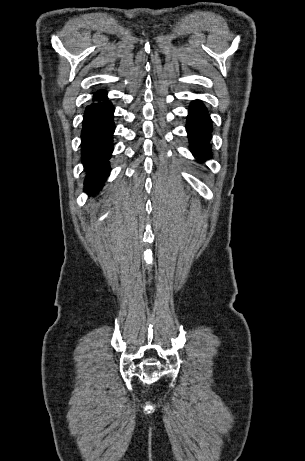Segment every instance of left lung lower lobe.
Segmentation results:
<instances>
[{
  "instance_id": "1",
  "label": "left lung lower lobe",
  "mask_w": 305,
  "mask_h": 461,
  "mask_svg": "<svg viewBox=\"0 0 305 461\" xmlns=\"http://www.w3.org/2000/svg\"><path fill=\"white\" fill-rule=\"evenodd\" d=\"M187 119L191 151L199 160L204 161L211 157L209 140L212 137V124L207 109L202 103L195 101L191 105Z\"/></svg>"
}]
</instances>
